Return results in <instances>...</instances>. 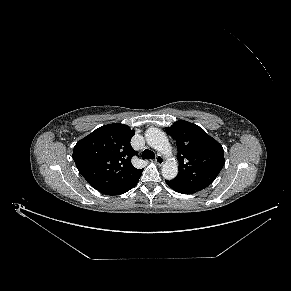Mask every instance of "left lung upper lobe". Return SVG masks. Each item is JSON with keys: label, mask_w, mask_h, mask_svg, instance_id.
<instances>
[{"label": "left lung upper lobe", "mask_w": 291, "mask_h": 291, "mask_svg": "<svg viewBox=\"0 0 291 291\" xmlns=\"http://www.w3.org/2000/svg\"><path fill=\"white\" fill-rule=\"evenodd\" d=\"M177 143L179 172L175 179L184 182H213L224 166L220 143L196 124L179 120L166 128Z\"/></svg>", "instance_id": "left-lung-upper-lobe-1"}]
</instances>
